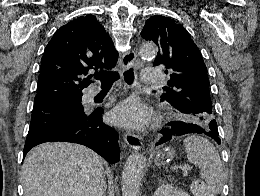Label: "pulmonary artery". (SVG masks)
<instances>
[{"label": "pulmonary artery", "mask_w": 260, "mask_h": 196, "mask_svg": "<svg viewBox=\"0 0 260 196\" xmlns=\"http://www.w3.org/2000/svg\"><path fill=\"white\" fill-rule=\"evenodd\" d=\"M141 73L144 76L141 77L142 84H158V77H160L159 69H142ZM98 94V91L89 90L86 94L87 102H91Z\"/></svg>", "instance_id": "e3ab8cb5"}]
</instances>
